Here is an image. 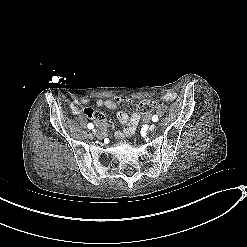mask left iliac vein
<instances>
[{"label": "left iliac vein", "instance_id": "4c4485c4", "mask_svg": "<svg viewBox=\"0 0 247 247\" xmlns=\"http://www.w3.org/2000/svg\"><path fill=\"white\" fill-rule=\"evenodd\" d=\"M154 129H155V124L152 123L149 127V131H154Z\"/></svg>", "mask_w": 247, "mask_h": 247}]
</instances>
